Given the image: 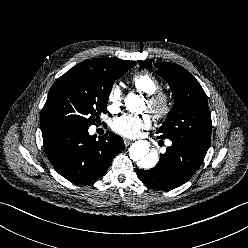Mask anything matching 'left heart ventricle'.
Listing matches in <instances>:
<instances>
[{
    "label": "left heart ventricle",
    "instance_id": "1",
    "mask_svg": "<svg viewBox=\"0 0 248 248\" xmlns=\"http://www.w3.org/2000/svg\"><path fill=\"white\" fill-rule=\"evenodd\" d=\"M146 110H149V104H148V102L146 104Z\"/></svg>",
    "mask_w": 248,
    "mask_h": 248
}]
</instances>
